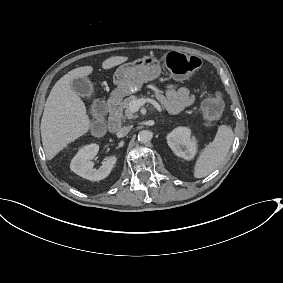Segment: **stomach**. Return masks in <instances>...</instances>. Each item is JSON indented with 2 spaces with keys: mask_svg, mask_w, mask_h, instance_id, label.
Returning <instances> with one entry per match:
<instances>
[{
  "mask_svg": "<svg viewBox=\"0 0 283 283\" xmlns=\"http://www.w3.org/2000/svg\"><path fill=\"white\" fill-rule=\"evenodd\" d=\"M162 71L163 67L154 55H146L125 63L114 74L113 81L117 87L113 92L119 96L136 93L141 90L144 83L158 79Z\"/></svg>",
  "mask_w": 283,
  "mask_h": 283,
  "instance_id": "stomach-1",
  "label": "stomach"
}]
</instances>
